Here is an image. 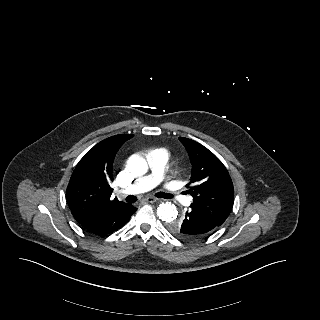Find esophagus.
<instances>
[{
	"mask_svg": "<svg viewBox=\"0 0 320 320\" xmlns=\"http://www.w3.org/2000/svg\"><path fill=\"white\" fill-rule=\"evenodd\" d=\"M158 199L157 198H154V197H147L146 199H145V201L146 202H148V203H154V202H156Z\"/></svg>",
	"mask_w": 320,
	"mask_h": 320,
	"instance_id": "34e87169",
	"label": "esophagus"
}]
</instances>
